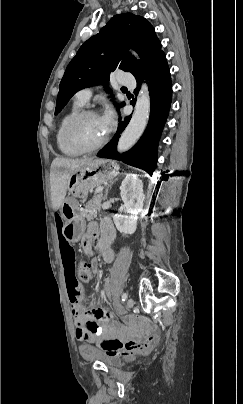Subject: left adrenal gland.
<instances>
[{"label":"left adrenal gland","mask_w":243,"mask_h":404,"mask_svg":"<svg viewBox=\"0 0 243 404\" xmlns=\"http://www.w3.org/2000/svg\"><path fill=\"white\" fill-rule=\"evenodd\" d=\"M116 180H118V178H115L114 182H116ZM111 184H113V182H110V186H111ZM110 186H106L103 200H107L108 190H109Z\"/></svg>","instance_id":"1"}]
</instances>
